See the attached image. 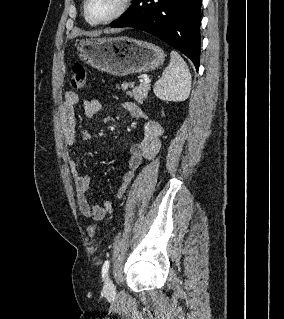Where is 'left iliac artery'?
<instances>
[{
    "instance_id": "44dca946",
    "label": "left iliac artery",
    "mask_w": 284,
    "mask_h": 319,
    "mask_svg": "<svg viewBox=\"0 0 284 319\" xmlns=\"http://www.w3.org/2000/svg\"><path fill=\"white\" fill-rule=\"evenodd\" d=\"M109 265H110V261L109 260H106L104 262V264H103V267H102V278H103V280L105 279V276L108 273Z\"/></svg>"
}]
</instances>
